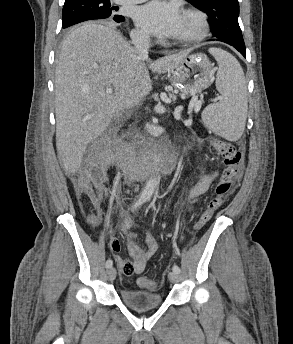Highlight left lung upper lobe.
I'll return each instance as SVG.
<instances>
[{
    "mask_svg": "<svg viewBox=\"0 0 293 344\" xmlns=\"http://www.w3.org/2000/svg\"><path fill=\"white\" fill-rule=\"evenodd\" d=\"M209 16L213 36L231 44L244 45L238 24L237 0H186Z\"/></svg>",
    "mask_w": 293,
    "mask_h": 344,
    "instance_id": "5c2ea615",
    "label": "left lung upper lobe"
}]
</instances>
